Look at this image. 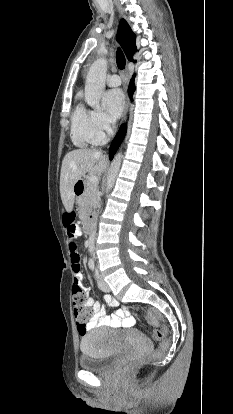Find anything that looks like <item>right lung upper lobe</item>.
Wrapping results in <instances>:
<instances>
[{
	"label": "right lung upper lobe",
	"mask_w": 233,
	"mask_h": 414,
	"mask_svg": "<svg viewBox=\"0 0 233 414\" xmlns=\"http://www.w3.org/2000/svg\"><path fill=\"white\" fill-rule=\"evenodd\" d=\"M118 37L128 60L135 62L132 59L133 54L136 52L135 34L124 19H121L119 23Z\"/></svg>",
	"instance_id": "right-lung-upper-lobe-1"
}]
</instances>
